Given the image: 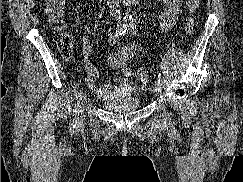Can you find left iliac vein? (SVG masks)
Segmentation results:
<instances>
[{
  "mask_svg": "<svg viewBox=\"0 0 243 182\" xmlns=\"http://www.w3.org/2000/svg\"><path fill=\"white\" fill-rule=\"evenodd\" d=\"M154 91L156 93H160L161 92V84L159 83L158 80L155 82ZM167 116H168V113L166 111H164V120H165V122L167 120Z\"/></svg>",
  "mask_w": 243,
  "mask_h": 182,
  "instance_id": "left-iliac-vein-1",
  "label": "left iliac vein"
}]
</instances>
